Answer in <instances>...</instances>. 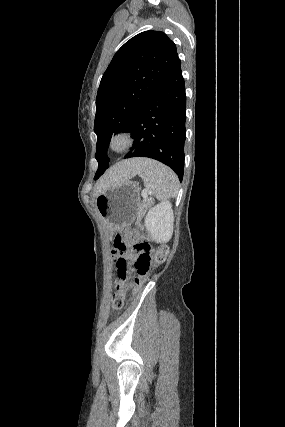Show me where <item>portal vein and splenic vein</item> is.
Listing matches in <instances>:
<instances>
[{"instance_id": "1", "label": "portal vein and splenic vein", "mask_w": 285, "mask_h": 427, "mask_svg": "<svg viewBox=\"0 0 285 427\" xmlns=\"http://www.w3.org/2000/svg\"><path fill=\"white\" fill-rule=\"evenodd\" d=\"M148 194H150V192H148L147 190L142 192V196L143 198H146L148 196Z\"/></svg>"}]
</instances>
